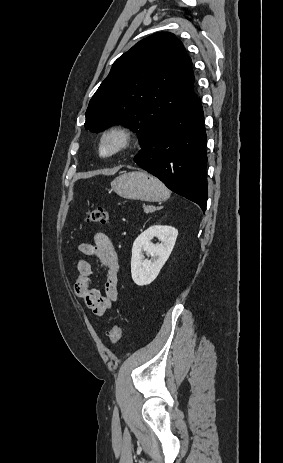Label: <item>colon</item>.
<instances>
[{
	"label": "colon",
	"mask_w": 283,
	"mask_h": 463,
	"mask_svg": "<svg viewBox=\"0 0 283 463\" xmlns=\"http://www.w3.org/2000/svg\"><path fill=\"white\" fill-rule=\"evenodd\" d=\"M109 214L108 211L101 207L92 208L88 211L86 220L89 223L105 224L108 222ZM123 334V328L120 324H115L110 331V342L112 345H116Z\"/></svg>",
	"instance_id": "obj_1"
}]
</instances>
